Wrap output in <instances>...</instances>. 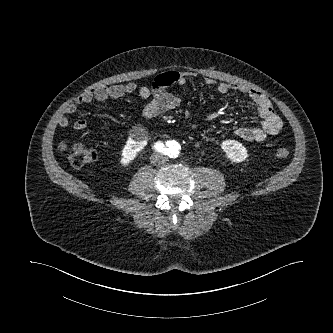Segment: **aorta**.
<instances>
[{
  "instance_id": "obj_1",
  "label": "aorta",
  "mask_w": 333,
  "mask_h": 333,
  "mask_svg": "<svg viewBox=\"0 0 333 333\" xmlns=\"http://www.w3.org/2000/svg\"><path fill=\"white\" fill-rule=\"evenodd\" d=\"M176 143H177V142H176ZM176 145H177V147L174 146L173 148H174L175 153H178L179 148H180V144L177 143Z\"/></svg>"
}]
</instances>
